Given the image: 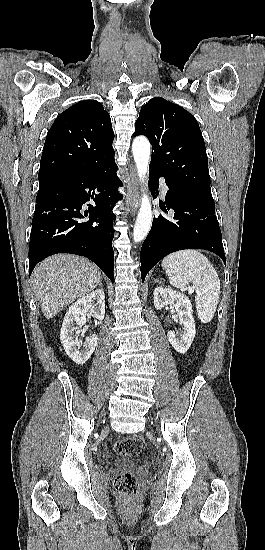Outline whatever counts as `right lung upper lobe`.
<instances>
[{"instance_id": "1", "label": "right lung upper lobe", "mask_w": 265, "mask_h": 550, "mask_svg": "<svg viewBox=\"0 0 265 550\" xmlns=\"http://www.w3.org/2000/svg\"><path fill=\"white\" fill-rule=\"evenodd\" d=\"M111 119L96 100L80 101L62 112L43 148L39 187L97 171L114 161Z\"/></svg>"}]
</instances>
